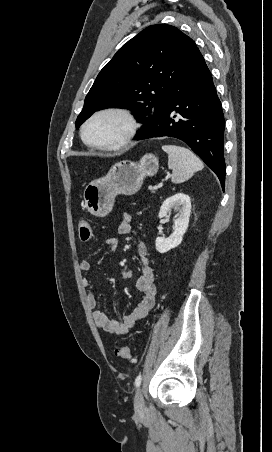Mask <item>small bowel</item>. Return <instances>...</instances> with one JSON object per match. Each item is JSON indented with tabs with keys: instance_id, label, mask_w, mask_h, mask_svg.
<instances>
[{
	"instance_id": "small-bowel-1",
	"label": "small bowel",
	"mask_w": 272,
	"mask_h": 452,
	"mask_svg": "<svg viewBox=\"0 0 272 452\" xmlns=\"http://www.w3.org/2000/svg\"><path fill=\"white\" fill-rule=\"evenodd\" d=\"M132 228L133 215L125 212L119 223L118 233L120 235H128L132 232ZM105 244L109 247L110 252L114 253L119 246V239L113 236L107 237L105 238ZM136 251L141 265V274L137 278L135 286L142 293V299L135 308L123 317L122 321L110 319L104 312L97 309V300L91 281L86 277L82 279L83 286L88 289L87 304L92 310L94 323L98 329L108 334H126L139 320L146 317L155 305L157 288L154 284V272L147 256L145 243L142 241L137 242ZM79 267L82 271H88L91 268V263L89 260H82L79 263Z\"/></svg>"
}]
</instances>
